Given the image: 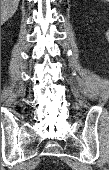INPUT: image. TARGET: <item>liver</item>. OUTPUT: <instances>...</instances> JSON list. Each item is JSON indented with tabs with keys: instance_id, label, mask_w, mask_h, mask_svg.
I'll list each match as a JSON object with an SVG mask.
<instances>
[{
	"instance_id": "obj_1",
	"label": "liver",
	"mask_w": 109,
	"mask_h": 170,
	"mask_svg": "<svg viewBox=\"0 0 109 170\" xmlns=\"http://www.w3.org/2000/svg\"><path fill=\"white\" fill-rule=\"evenodd\" d=\"M20 0H1V23L11 18L19 5Z\"/></svg>"
}]
</instances>
